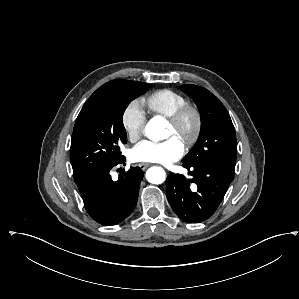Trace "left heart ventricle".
<instances>
[{"label": "left heart ventricle", "instance_id": "1", "mask_svg": "<svg viewBox=\"0 0 299 299\" xmlns=\"http://www.w3.org/2000/svg\"><path fill=\"white\" fill-rule=\"evenodd\" d=\"M191 127H192L191 118L186 121L185 125L183 126L180 132L175 131V129L169 124L166 137L167 138L176 137L182 142V139L189 134Z\"/></svg>", "mask_w": 299, "mask_h": 299}]
</instances>
